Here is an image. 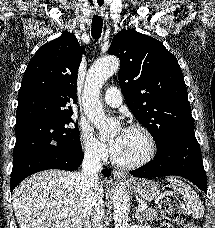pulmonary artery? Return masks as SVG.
I'll return each mask as SVG.
<instances>
[{
  "mask_svg": "<svg viewBox=\"0 0 215 228\" xmlns=\"http://www.w3.org/2000/svg\"><path fill=\"white\" fill-rule=\"evenodd\" d=\"M103 101L111 107H118L122 104L123 97L117 88H110L105 92Z\"/></svg>",
  "mask_w": 215,
  "mask_h": 228,
  "instance_id": "pulmonary-artery-1",
  "label": "pulmonary artery"
}]
</instances>
